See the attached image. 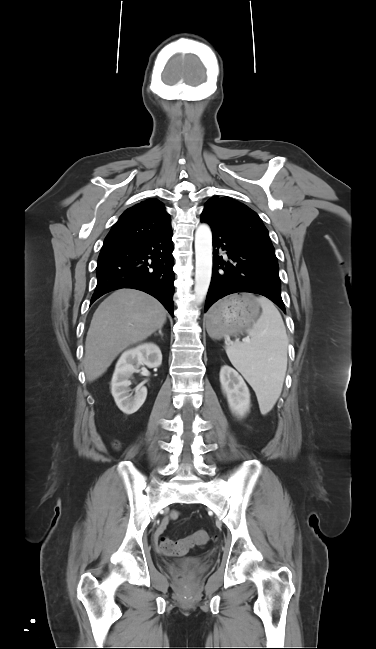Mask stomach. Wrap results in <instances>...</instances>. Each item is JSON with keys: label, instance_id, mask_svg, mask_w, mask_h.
<instances>
[{"label": "stomach", "instance_id": "0dacf381", "mask_svg": "<svg viewBox=\"0 0 376 649\" xmlns=\"http://www.w3.org/2000/svg\"><path fill=\"white\" fill-rule=\"evenodd\" d=\"M260 314V304L251 294H234L219 301L207 316V331L212 338L236 334L249 328Z\"/></svg>", "mask_w": 376, "mask_h": 649}]
</instances>
